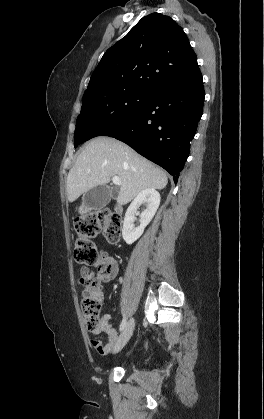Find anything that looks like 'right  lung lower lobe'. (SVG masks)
Returning a JSON list of instances; mask_svg holds the SVG:
<instances>
[{"label":"right lung lower lobe","mask_w":264,"mask_h":419,"mask_svg":"<svg viewBox=\"0 0 264 419\" xmlns=\"http://www.w3.org/2000/svg\"><path fill=\"white\" fill-rule=\"evenodd\" d=\"M202 76L189 83H172L152 91L130 117L101 136L116 138L160 165L175 183L189 155L203 112Z\"/></svg>","instance_id":"obj_1"}]
</instances>
